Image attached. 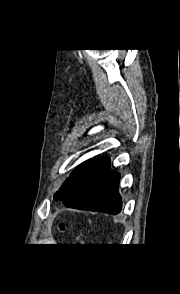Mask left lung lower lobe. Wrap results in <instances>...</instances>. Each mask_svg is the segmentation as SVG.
Returning a JSON list of instances; mask_svg holds the SVG:
<instances>
[{"instance_id": "1", "label": "left lung lower lobe", "mask_w": 180, "mask_h": 294, "mask_svg": "<svg viewBox=\"0 0 180 294\" xmlns=\"http://www.w3.org/2000/svg\"><path fill=\"white\" fill-rule=\"evenodd\" d=\"M120 174L110 169L109 157L93 158L62 199L70 208L117 214L121 210L118 193Z\"/></svg>"}]
</instances>
